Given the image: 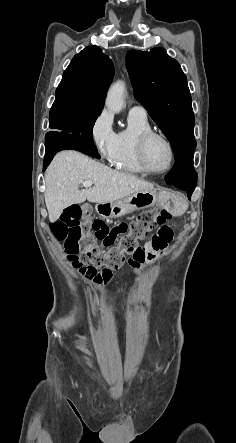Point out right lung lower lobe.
<instances>
[{"label":"right lung lower lobe","instance_id":"1","mask_svg":"<svg viewBox=\"0 0 236 443\" xmlns=\"http://www.w3.org/2000/svg\"><path fill=\"white\" fill-rule=\"evenodd\" d=\"M63 149H74L91 157L98 159L100 158V155L98 154L97 148L94 144L88 143L81 139H77L76 137L67 139L60 135H56L50 138H46V151L43 163V170L47 168L54 155L58 151Z\"/></svg>","mask_w":236,"mask_h":443}]
</instances>
